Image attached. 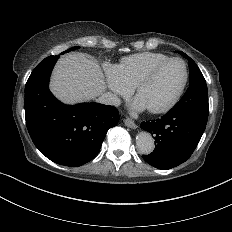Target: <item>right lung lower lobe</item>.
Returning a JSON list of instances; mask_svg holds the SVG:
<instances>
[{"label":"right lung lower lobe","mask_w":232,"mask_h":232,"mask_svg":"<svg viewBox=\"0 0 232 232\" xmlns=\"http://www.w3.org/2000/svg\"><path fill=\"white\" fill-rule=\"evenodd\" d=\"M58 58H45L26 83V125L35 146L48 159L76 167L98 154L107 131L117 125L120 117L113 106L65 105L58 101L48 89L49 77Z\"/></svg>","instance_id":"right-lung-lower-lobe-1"}]
</instances>
